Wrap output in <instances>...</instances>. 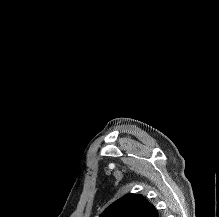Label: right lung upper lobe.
Instances as JSON below:
<instances>
[{"label":"right lung upper lobe","mask_w":219,"mask_h":217,"mask_svg":"<svg viewBox=\"0 0 219 217\" xmlns=\"http://www.w3.org/2000/svg\"><path fill=\"white\" fill-rule=\"evenodd\" d=\"M100 217H158V214L142 195L127 194L112 203Z\"/></svg>","instance_id":"obj_1"}]
</instances>
